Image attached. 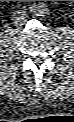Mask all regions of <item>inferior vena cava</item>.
<instances>
[{"mask_svg": "<svg viewBox=\"0 0 74 122\" xmlns=\"http://www.w3.org/2000/svg\"><path fill=\"white\" fill-rule=\"evenodd\" d=\"M27 18V13L25 11H15L12 16V20L17 25H22Z\"/></svg>", "mask_w": 74, "mask_h": 122, "instance_id": "602c4592", "label": "inferior vena cava"}]
</instances>
